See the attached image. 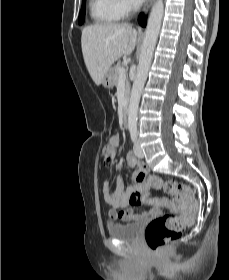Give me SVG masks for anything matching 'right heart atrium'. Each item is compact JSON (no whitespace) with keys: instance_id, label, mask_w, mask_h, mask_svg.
<instances>
[{"instance_id":"obj_1","label":"right heart atrium","mask_w":229,"mask_h":280,"mask_svg":"<svg viewBox=\"0 0 229 280\" xmlns=\"http://www.w3.org/2000/svg\"><path fill=\"white\" fill-rule=\"evenodd\" d=\"M121 18L127 17L138 7V0H112Z\"/></svg>"}]
</instances>
